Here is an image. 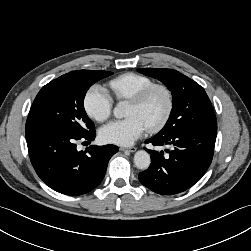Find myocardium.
<instances>
[{
	"mask_svg": "<svg viewBox=\"0 0 251 251\" xmlns=\"http://www.w3.org/2000/svg\"><path fill=\"white\" fill-rule=\"evenodd\" d=\"M156 91H160L164 94L166 99V106L160 118L148 127V130L150 132H156L160 130L167 123L171 116L174 106L173 93L171 89L165 84H152L129 99L131 103L141 106L144 105L150 98V96Z\"/></svg>",
	"mask_w": 251,
	"mask_h": 251,
	"instance_id": "obj_1",
	"label": "myocardium"
}]
</instances>
